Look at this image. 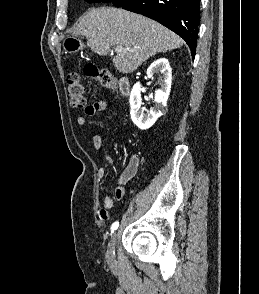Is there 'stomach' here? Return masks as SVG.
<instances>
[{"mask_svg": "<svg viewBox=\"0 0 259 294\" xmlns=\"http://www.w3.org/2000/svg\"><path fill=\"white\" fill-rule=\"evenodd\" d=\"M63 50L65 53H76L84 48V44L75 35L67 36L63 41Z\"/></svg>", "mask_w": 259, "mask_h": 294, "instance_id": "0dacf381", "label": "stomach"}]
</instances>
